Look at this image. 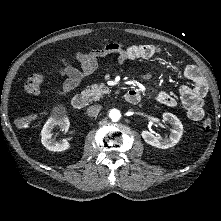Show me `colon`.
Segmentation results:
<instances>
[{
	"label": "colon",
	"mask_w": 221,
	"mask_h": 221,
	"mask_svg": "<svg viewBox=\"0 0 221 221\" xmlns=\"http://www.w3.org/2000/svg\"><path fill=\"white\" fill-rule=\"evenodd\" d=\"M44 79V75L42 73H35L28 77L25 83V90L30 94H39L41 91V85ZM35 120V116L29 115L25 117H21L17 120V125L20 128L28 127ZM212 127V120L210 118H206L202 123V129L208 132Z\"/></svg>",
	"instance_id": "5ec220e1"
}]
</instances>
